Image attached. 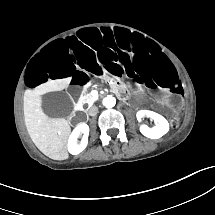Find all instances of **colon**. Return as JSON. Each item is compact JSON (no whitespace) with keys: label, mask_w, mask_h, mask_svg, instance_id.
<instances>
[{"label":"colon","mask_w":215,"mask_h":215,"mask_svg":"<svg viewBox=\"0 0 215 215\" xmlns=\"http://www.w3.org/2000/svg\"><path fill=\"white\" fill-rule=\"evenodd\" d=\"M171 126H172V128H177L179 126V120L177 118H172Z\"/></svg>","instance_id":"5ec220e1"}]
</instances>
